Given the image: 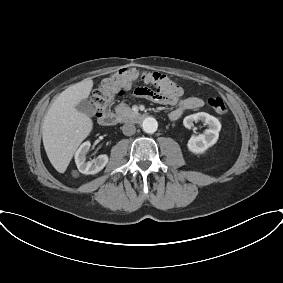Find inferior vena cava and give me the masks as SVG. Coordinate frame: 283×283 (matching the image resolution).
I'll use <instances>...</instances> for the list:
<instances>
[{
	"label": "inferior vena cava",
	"mask_w": 283,
	"mask_h": 283,
	"mask_svg": "<svg viewBox=\"0 0 283 283\" xmlns=\"http://www.w3.org/2000/svg\"><path fill=\"white\" fill-rule=\"evenodd\" d=\"M122 131L124 135L131 136L136 132V127L131 123H127L123 125Z\"/></svg>",
	"instance_id": "1"
}]
</instances>
